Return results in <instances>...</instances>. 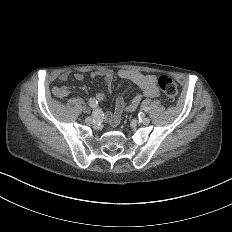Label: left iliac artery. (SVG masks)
<instances>
[{"label": "left iliac artery", "mask_w": 232, "mask_h": 232, "mask_svg": "<svg viewBox=\"0 0 232 232\" xmlns=\"http://www.w3.org/2000/svg\"><path fill=\"white\" fill-rule=\"evenodd\" d=\"M145 118V114L143 112H139L137 115L138 121H142Z\"/></svg>", "instance_id": "44dca946"}]
</instances>
